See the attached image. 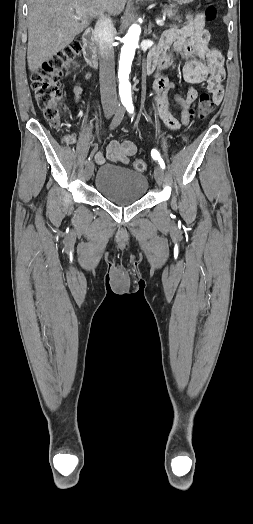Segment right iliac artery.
<instances>
[{"mask_svg":"<svg viewBox=\"0 0 253 524\" xmlns=\"http://www.w3.org/2000/svg\"><path fill=\"white\" fill-rule=\"evenodd\" d=\"M125 105L123 104V106H120L118 107L116 113H115V116L114 118L112 119L111 121V124L109 126V129L110 130H113L115 129L122 121L123 117H124V113H125ZM96 151V148L90 153L89 157H88V160H86V163H88L92 158H93V155Z\"/></svg>","mask_w":253,"mask_h":524,"instance_id":"right-iliac-artery-1","label":"right iliac artery"}]
</instances>
